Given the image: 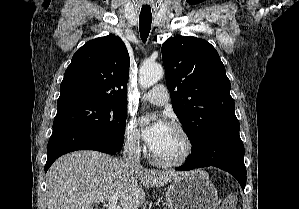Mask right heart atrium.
<instances>
[{
    "mask_svg": "<svg viewBox=\"0 0 299 209\" xmlns=\"http://www.w3.org/2000/svg\"><path fill=\"white\" fill-rule=\"evenodd\" d=\"M125 145L134 153H138L142 149L140 133L132 120H129L126 124Z\"/></svg>",
    "mask_w": 299,
    "mask_h": 209,
    "instance_id": "obj_1",
    "label": "right heart atrium"
}]
</instances>
